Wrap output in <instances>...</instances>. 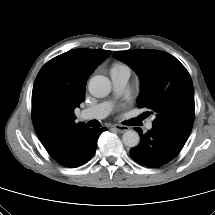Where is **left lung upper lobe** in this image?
<instances>
[{
	"instance_id": "5c2ea615",
	"label": "left lung upper lobe",
	"mask_w": 215,
	"mask_h": 215,
	"mask_svg": "<svg viewBox=\"0 0 215 215\" xmlns=\"http://www.w3.org/2000/svg\"><path fill=\"white\" fill-rule=\"evenodd\" d=\"M113 56L140 75L142 85L137 106L154 113L153 127L185 143L195 113L194 89L186 68L174 56L159 50L116 51Z\"/></svg>"
}]
</instances>
